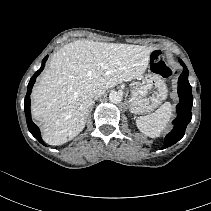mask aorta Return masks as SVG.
I'll return each mask as SVG.
<instances>
[{
  "mask_svg": "<svg viewBox=\"0 0 211 211\" xmlns=\"http://www.w3.org/2000/svg\"><path fill=\"white\" fill-rule=\"evenodd\" d=\"M109 100L112 102V103H120L122 101V95L116 91L114 92H111L109 94Z\"/></svg>",
  "mask_w": 211,
  "mask_h": 211,
  "instance_id": "762f6f07",
  "label": "aorta"
}]
</instances>
